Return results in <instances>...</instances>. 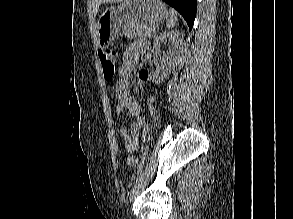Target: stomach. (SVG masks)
Instances as JSON below:
<instances>
[{"label":"stomach","instance_id":"obj_1","mask_svg":"<svg viewBox=\"0 0 293 219\" xmlns=\"http://www.w3.org/2000/svg\"><path fill=\"white\" fill-rule=\"evenodd\" d=\"M168 16L161 0H124L120 5L106 8L97 20L100 47H108L134 24L157 22Z\"/></svg>","mask_w":293,"mask_h":219}]
</instances>
